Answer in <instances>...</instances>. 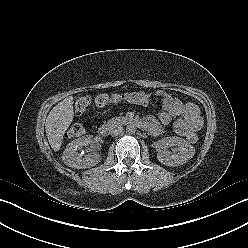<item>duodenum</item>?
Wrapping results in <instances>:
<instances>
[{
    "mask_svg": "<svg viewBox=\"0 0 248 248\" xmlns=\"http://www.w3.org/2000/svg\"><path fill=\"white\" fill-rule=\"evenodd\" d=\"M129 122L134 124V125L140 126V127H144V126L147 127V124L145 121H141L138 119H130ZM110 131H111V129L109 126L102 125L98 129V134L101 137H107V136H109Z\"/></svg>",
    "mask_w": 248,
    "mask_h": 248,
    "instance_id": "duodenum-1",
    "label": "duodenum"
}]
</instances>
